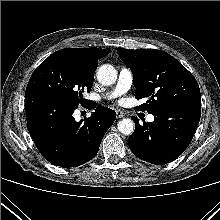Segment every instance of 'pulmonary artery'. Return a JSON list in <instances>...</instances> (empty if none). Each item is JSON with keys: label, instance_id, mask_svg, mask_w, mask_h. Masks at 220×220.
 Segmentation results:
<instances>
[{"label": "pulmonary artery", "instance_id": "pulmonary-artery-1", "mask_svg": "<svg viewBox=\"0 0 220 220\" xmlns=\"http://www.w3.org/2000/svg\"><path fill=\"white\" fill-rule=\"evenodd\" d=\"M133 82V75L130 69L122 67L118 74V79L113 90L107 95L108 98H115L127 92ZM147 121L152 122L154 120L153 115L147 116Z\"/></svg>", "mask_w": 220, "mask_h": 220}]
</instances>
